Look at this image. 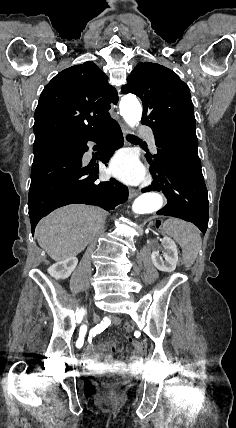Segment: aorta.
<instances>
[{
	"instance_id": "762f6f07",
	"label": "aorta",
	"mask_w": 236,
	"mask_h": 428,
	"mask_svg": "<svg viewBox=\"0 0 236 428\" xmlns=\"http://www.w3.org/2000/svg\"><path fill=\"white\" fill-rule=\"evenodd\" d=\"M120 113L130 127L139 124L142 107L134 95H126L121 99ZM163 206V198L159 193L147 192L140 195L133 203L132 210L137 214H149L158 211Z\"/></svg>"
}]
</instances>
